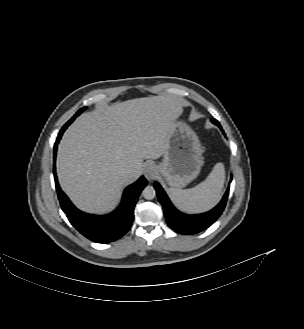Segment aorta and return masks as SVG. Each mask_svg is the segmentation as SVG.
<instances>
[{
	"mask_svg": "<svg viewBox=\"0 0 304 329\" xmlns=\"http://www.w3.org/2000/svg\"><path fill=\"white\" fill-rule=\"evenodd\" d=\"M142 195L145 199L152 200L156 195V191L153 186H146L142 191Z\"/></svg>",
	"mask_w": 304,
	"mask_h": 329,
	"instance_id": "762f6f07",
	"label": "aorta"
}]
</instances>
